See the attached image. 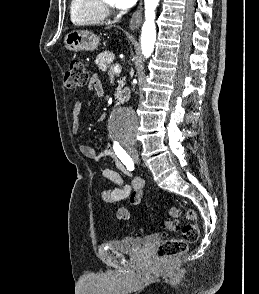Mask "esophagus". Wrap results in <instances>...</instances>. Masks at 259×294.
Returning <instances> with one entry per match:
<instances>
[{
    "label": "esophagus",
    "mask_w": 259,
    "mask_h": 294,
    "mask_svg": "<svg viewBox=\"0 0 259 294\" xmlns=\"http://www.w3.org/2000/svg\"><path fill=\"white\" fill-rule=\"evenodd\" d=\"M142 20V0L139 3L138 8L133 13L130 23H129V29L131 31H135L139 28Z\"/></svg>",
    "instance_id": "34e87169"
}]
</instances>
